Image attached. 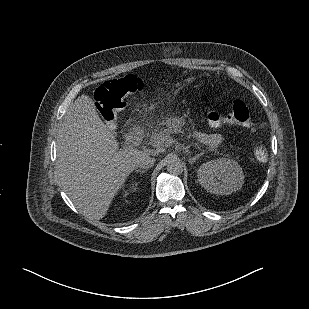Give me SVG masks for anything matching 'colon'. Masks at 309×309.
I'll return each instance as SVG.
<instances>
[{"label": "colon", "mask_w": 309, "mask_h": 309, "mask_svg": "<svg viewBox=\"0 0 309 309\" xmlns=\"http://www.w3.org/2000/svg\"><path fill=\"white\" fill-rule=\"evenodd\" d=\"M142 88V80L136 75L128 74L106 81L97 89L95 100L109 127L113 126L118 114L127 106L128 97ZM200 102L211 125L218 127L234 124L253 129L250 110L242 100L235 101L228 113L215 108L210 95H203ZM254 155L259 161H266L268 158L266 147L261 144L256 145Z\"/></svg>", "instance_id": "colon-1"}]
</instances>
